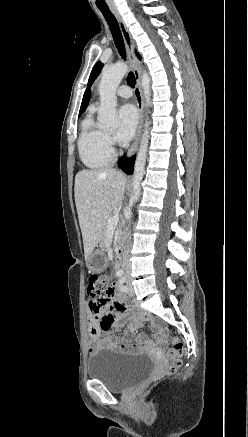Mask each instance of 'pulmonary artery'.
I'll use <instances>...</instances> for the list:
<instances>
[{
    "instance_id": "obj_1",
    "label": "pulmonary artery",
    "mask_w": 248,
    "mask_h": 437,
    "mask_svg": "<svg viewBox=\"0 0 248 437\" xmlns=\"http://www.w3.org/2000/svg\"><path fill=\"white\" fill-rule=\"evenodd\" d=\"M116 93L121 98H130L132 96V91L127 85L120 86Z\"/></svg>"
}]
</instances>
